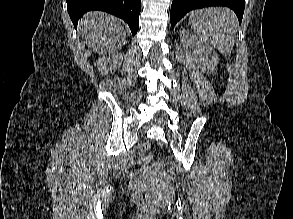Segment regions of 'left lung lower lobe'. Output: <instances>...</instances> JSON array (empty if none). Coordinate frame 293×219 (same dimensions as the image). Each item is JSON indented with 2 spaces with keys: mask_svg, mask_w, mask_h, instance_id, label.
Returning <instances> with one entry per match:
<instances>
[{
  "mask_svg": "<svg viewBox=\"0 0 293 219\" xmlns=\"http://www.w3.org/2000/svg\"><path fill=\"white\" fill-rule=\"evenodd\" d=\"M208 6L231 8L240 23L244 13L245 0H173L170 13L171 25L174 26L187 12Z\"/></svg>",
  "mask_w": 293,
  "mask_h": 219,
  "instance_id": "obj_1",
  "label": "left lung lower lobe"
}]
</instances>
